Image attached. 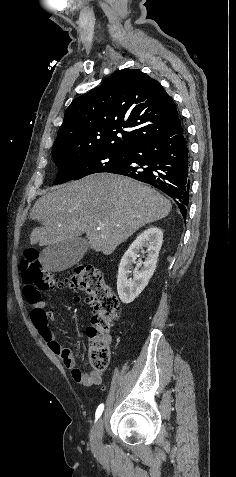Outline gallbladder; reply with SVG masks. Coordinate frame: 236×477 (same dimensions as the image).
<instances>
[{
    "label": "gallbladder",
    "mask_w": 236,
    "mask_h": 477,
    "mask_svg": "<svg viewBox=\"0 0 236 477\" xmlns=\"http://www.w3.org/2000/svg\"><path fill=\"white\" fill-rule=\"evenodd\" d=\"M89 248L87 239L75 237L46 247L40 256L44 268L59 272L78 263Z\"/></svg>",
    "instance_id": "bac80fb5"
}]
</instances>
